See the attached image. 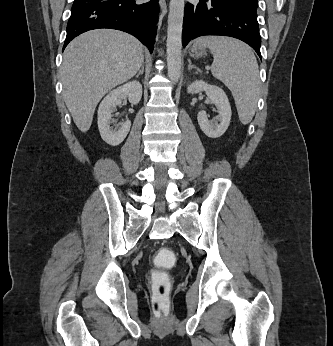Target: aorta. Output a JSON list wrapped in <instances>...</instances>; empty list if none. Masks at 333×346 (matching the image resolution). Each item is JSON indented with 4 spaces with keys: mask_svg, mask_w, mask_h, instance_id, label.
I'll use <instances>...</instances> for the list:
<instances>
[{
    "mask_svg": "<svg viewBox=\"0 0 333 346\" xmlns=\"http://www.w3.org/2000/svg\"><path fill=\"white\" fill-rule=\"evenodd\" d=\"M184 0H170L167 30V68L173 83L181 74L182 25Z\"/></svg>",
    "mask_w": 333,
    "mask_h": 346,
    "instance_id": "obj_1",
    "label": "aorta"
}]
</instances>
